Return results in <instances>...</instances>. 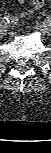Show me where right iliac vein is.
I'll return each mask as SVG.
<instances>
[{
    "label": "right iliac vein",
    "mask_w": 51,
    "mask_h": 153,
    "mask_svg": "<svg viewBox=\"0 0 51 153\" xmlns=\"http://www.w3.org/2000/svg\"><path fill=\"white\" fill-rule=\"evenodd\" d=\"M6 33H7L6 24L3 23V22H1L0 34H1L2 36H4V35H6Z\"/></svg>",
    "instance_id": "obj_1"
}]
</instances>
